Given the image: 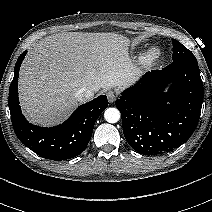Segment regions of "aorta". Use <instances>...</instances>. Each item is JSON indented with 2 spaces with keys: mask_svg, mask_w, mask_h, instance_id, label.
<instances>
[{
  "mask_svg": "<svg viewBox=\"0 0 212 212\" xmlns=\"http://www.w3.org/2000/svg\"><path fill=\"white\" fill-rule=\"evenodd\" d=\"M121 115L117 108H107L104 112V118L109 123H116L119 121Z\"/></svg>",
  "mask_w": 212,
  "mask_h": 212,
  "instance_id": "762f6f07",
  "label": "aorta"
}]
</instances>
